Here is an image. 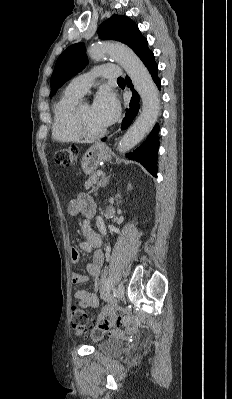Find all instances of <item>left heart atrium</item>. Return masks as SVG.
<instances>
[{"label": "left heart atrium", "instance_id": "39dd6f15", "mask_svg": "<svg viewBox=\"0 0 232 399\" xmlns=\"http://www.w3.org/2000/svg\"><path fill=\"white\" fill-rule=\"evenodd\" d=\"M93 115L106 127L115 123L119 117L120 108L110 93L100 94L91 107Z\"/></svg>", "mask_w": 232, "mask_h": 399}]
</instances>
